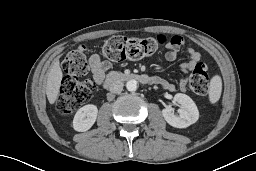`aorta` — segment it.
<instances>
[{
    "mask_svg": "<svg viewBox=\"0 0 256 171\" xmlns=\"http://www.w3.org/2000/svg\"><path fill=\"white\" fill-rule=\"evenodd\" d=\"M138 87V82L134 79L127 81L126 88L128 91H136Z\"/></svg>",
    "mask_w": 256,
    "mask_h": 171,
    "instance_id": "1",
    "label": "aorta"
}]
</instances>
